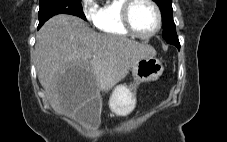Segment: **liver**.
<instances>
[{
    "label": "liver",
    "mask_w": 227,
    "mask_h": 142,
    "mask_svg": "<svg viewBox=\"0 0 227 142\" xmlns=\"http://www.w3.org/2000/svg\"><path fill=\"white\" fill-rule=\"evenodd\" d=\"M155 55L150 45L99 34L72 15L52 17L36 35L39 82L52 107L71 116L90 100L100 98V92H108L123 80L138 60ZM63 68H80V73H89V78L59 81V76L65 75Z\"/></svg>",
    "instance_id": "1"
}]
</instances>
